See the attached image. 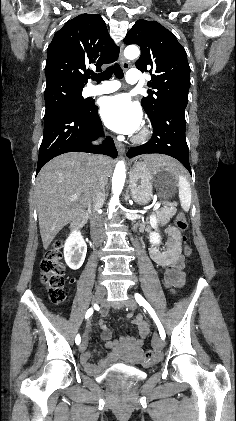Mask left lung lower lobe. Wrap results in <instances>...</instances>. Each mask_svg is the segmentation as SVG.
Here are the masks:
<instances>
[{
  "label": "left lung lower lobe",
  "mask_w": 236,
  "mask_h": 421,
  "mask_svg": "<svg viewBox=\"0 0 236 421\" xmlns=\"http://www.w3.org/2000/svg\"><path fill=\"white\" fill-rule=\"evenodd\" d=\"M185 108L186 105L179 103L164 107L157 116L150 119L153 126L151 139L144 145L130 148L127 157L150 153L166 154L179 160L191 173L185 137Z\"/></svg>",
  "instance_id": "0a47b994"
}]
</instances>
